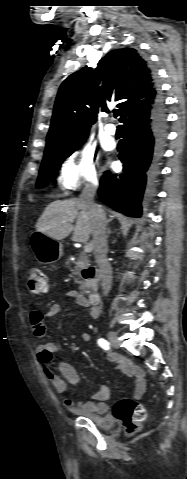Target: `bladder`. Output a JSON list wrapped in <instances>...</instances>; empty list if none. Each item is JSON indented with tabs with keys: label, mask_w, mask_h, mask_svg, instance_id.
<instances>
[{
	"label": "bladder",
	"mask_w": 187,
	"mask_h": 479,
	"mask_svg": "<svg viewBox=\"0 0 187 479\" xmlns=\"http://www.w3.org/2000/svg\"><path fill=\"white\" fill-rule=\"evenodd\" d=\"M83 418H87L102 429H110L114 426V420L108 416L96 415L89 412H81Z\"/></svg>",
	"instance_id": "1"
}]
</instances>
